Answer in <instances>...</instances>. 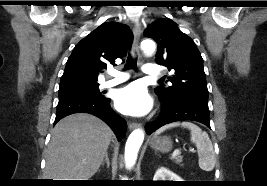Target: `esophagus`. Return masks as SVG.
I'll return each instance as SVG.
<instances>
[{"instance_id":"obj_1","label":"esophagus","mask_w":267,"mask_h":186,"mask_svg":"<svg viewBox=\"0 0 267 186\" xmlns=\"http://www.w3.org/2000/svg\"><path fill=\"white\" fill-rule=\"evenodd\" d=\"M133 34H134V40H133V45H132V55L140 59L141 56H140L139 41H140V35H141V26L139 23L135 24L133 28ZM139 127H141V124L137 122H130L128 124L129 130H134Z\"/></svg>"}]
</instances>
